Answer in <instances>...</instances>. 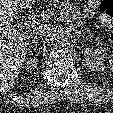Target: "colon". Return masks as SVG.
Listing matches in <instances>:
<instances>
[{
  "mask_svg": "<svg viewBox=\"0 0 113 113\" xmlns=\"http://www.w3.org/2000/svg\"><path fill=\"white\" fill-rule=\"evenodd\" d=\"M98 9L108 24L113 22V0H101Z\"/></svg>",
  "mask_w": 113,
  "mask_h": 113,
  "instance_id": "colon-1",
  "label": "colon"
}]
</instances>
